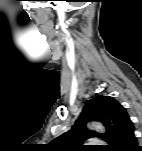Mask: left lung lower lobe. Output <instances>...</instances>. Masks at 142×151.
Instances as JSON below:
<instances>
[{"label": "left lung lower lobe", "instance_id": "1", "mask_svg": "<svg viewBox=\"0 0 142 151\" xmlns=\"http://www.w3.org/2000/svg\"><path fill=\"white\" fill-rule=\"evenodd\" d=\"M113 151H142V148L137 146V138L134 133V128L128 130L121 137L113 148Z\"/></svg>", "mask_w": 142, "mask_h": 151}]
</instances>
